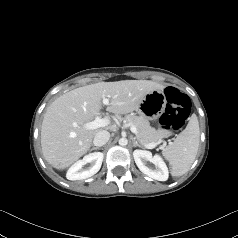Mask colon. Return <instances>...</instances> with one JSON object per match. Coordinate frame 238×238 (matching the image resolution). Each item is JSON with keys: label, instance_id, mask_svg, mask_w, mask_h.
I'll return each instance as SVG.
<instances>
[{"label": "colon", "instance_id": "obj_1", "mask_svg": "<svg viewBox=\"0 0 238 238\" xmlns=\"http://www.w3.org/2000/svg\"><path fill=\"white\" fill-rule=\"evenodd\" d=\"M164 93L167 105L160 123L165 129L178 130L188 118L190 99L175 87H167Z\"/></svg>", "mask_w": 238, "mask_h": 238}]
</instances>
